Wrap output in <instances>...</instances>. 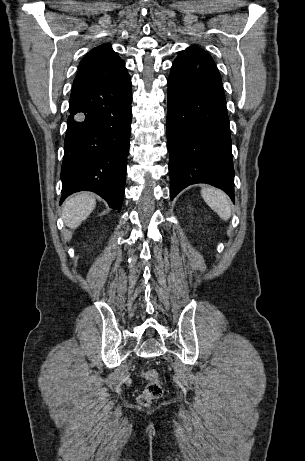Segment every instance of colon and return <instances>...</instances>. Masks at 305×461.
<instances>
[{"mask_svg":"<svg viewBox=\"0 0 305 461\" xmlns=\"http://www.w3.org/2000/svg\"><path fill=\"white\" fill-rule=\"evenodd\" d=\"M142 377L147 381V384L138 396V402L142 406H148L153 401L160 399L163 396L164 390L161 384L160 375L154 369L145 370Z\"/></svg>","mask_w":305,"mask_h":461,"instance_id":"obj_1","label":"colon"}]
</instances>
